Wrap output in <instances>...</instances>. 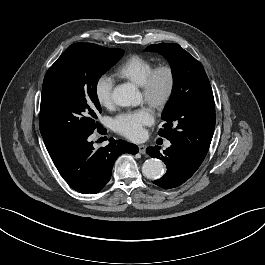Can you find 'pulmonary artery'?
<instances>
[{
	"label": "pulmonary artery",
	"mask_w": 265,
	"mask_h": 265,
	"mask_svg": "<svg viewBox=\"0 0 265 265\" xmlns=\"http://www.w3.org/2000/svg\"><path fill=\"white\" fill-rule=\"evenodd\" d=\"M166 146H167V147H169V146H170V143H169V142H167V143H166Z\"/></svg>",
	"instance_id": "obj_1"
}]
</instances>
